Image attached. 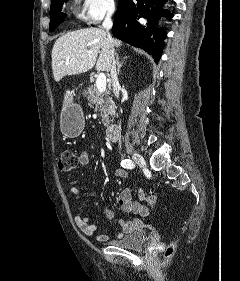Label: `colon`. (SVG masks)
I'll return each instance as SVG.
<instances>
[{
	"label": "colon",
	"mask_w": 240,
	"mask_h": 281,
	"mask_svg": "<svg viewBox=\"0 0 240 281\" xmlns=\"http://www.w3.org/2000/svg\"><path fill=\"white\" fill-rule=\"evenodd\" d=\"M58 168L61 171H71L75 169L78 165V157L71 150H65L60 154L58 159ZM141 197L147 201L151 206L155 205L156 196L152 190L142 192ZM174 251V246L171 244L167 246L164 250L165 257H170Z\"/></svg>",
	"instance_id": "5ec220e1"
}]
</instances>
